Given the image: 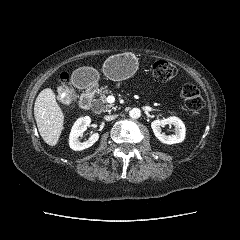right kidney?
<instances>
[{"mask_svg":"<svg viewBox=\"0 0 240 240\" xmlns=\"http://www.w3.org/2000/svg\"><path fill=\"white\" fill-rule=\"evenodd\" d=\"M90 123L91 118L89 116H84L76 120V122L72 126L69 136V145L71 149L75 151L84 150L91 147L99 139V134L94 133L87 141L80 142L78 140V137L84 133L87 127H89Z\"/></svg>","mask_w":240,"mask_h":240,"instance_id":"obj_1","label":"right kidney"}]
</instances>
